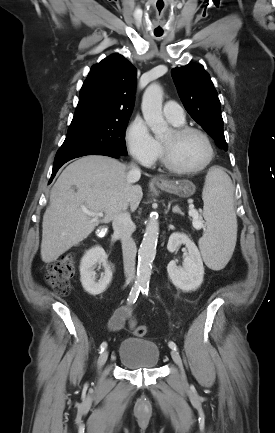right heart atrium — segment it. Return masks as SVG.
Wrapping results in <instances>:
<instances>
[{
	"label": "right heart atrium",
	"instance_id": "d8ad5b80",
	"mask_svg": "<svg viewBox=\"0 0 275 433\" xmlns=\"http://www.w3.org/2000/svg\"><path fill=\"white\" fill-rule=\"evenodd\" d=\"M125 140L131 156L144 166L154 164L160 155V144L141 117H136L128 125Z\"/></svg>",
	"mask_w": 275,
	"mask_h": 433
}]
</instances>
